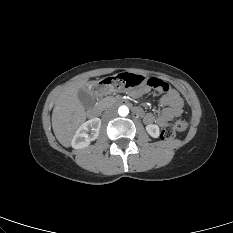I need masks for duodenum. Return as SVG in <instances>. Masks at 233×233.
<instances>
[{"label":"duodenum","mask_w":233,"mask_h":233,"mask_svg":"<svg viewBox=\"0 0 233 233\" xmlns=\"http://www.w3.org/2000/svg\"><path fill=\"white\" fill-rule=\"evenodd\" d=\"M117 103L120 105H130L129 101L122 99V98L118 99ZM134 112L136 114H140L141 109L136 107V108H134ZM99 114H100V110L98 107H93V108L89 109V111H88V116H89V118H92V119L98 118Z\"/></svg>","instance_id":"1"}]
</instances>
